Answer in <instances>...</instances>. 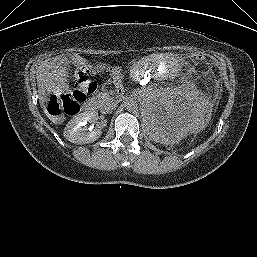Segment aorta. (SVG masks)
<instances>
[{
    "mask_svg": "<svg viewBox=\"0 0 257 257\" xmlns=\"http://www.w3.org/2000/svg\"><path fill=\"white\" fill-rule=\"evenodd\" d=\"M125 108H126L128 111H130V112L136 110V109H137V103H136V101H134V100H128V101H126V102H125Z\"/></svg>",
    "mask_w": 257,
    "mask_h": 257,
    "instance_id": "1",
    "label": "aorta"
}]
</instances>
